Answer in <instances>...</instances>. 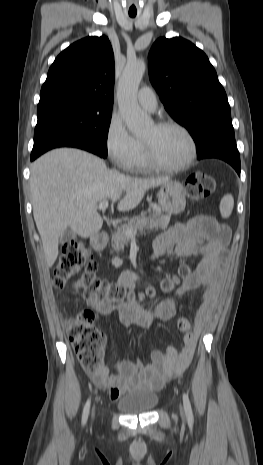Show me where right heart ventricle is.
<instances>
[{"instance_id":"obj_1","label":"right heart ventricle","mask_w":263,"mask_h":465,"mask_svg":"<svg viewBox=\"0 0 263 465\" xmlns=\"http://www.w3.org/2000/svg\"><path fill=\"white\" fill-rule=\"evenodd\" d=\"M138 143H139L138 154L130 168L134 171H140V172L147 171L151 169L152 167L149 165V163L146 160L141 142L138 141Z\"/></svg>"}]
</instances>
